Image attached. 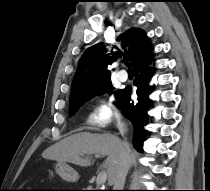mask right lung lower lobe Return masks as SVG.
<instances>
[{"label": "right lung lower lobe", "mask_w": 210, "mask_h": 191, "mask_svg": "<svg viewBox=\"0 0 210 191\" xmlns=\"http://www.w3.org/2000/svg\"><path fill=\"white\" fill-rule=\"evenodd\" d=\"M151 45H149L140 52L133 63V71L135 73L134 85L137 87L138 102L132 103L130 99L131 87L120 90L116 99L119 101L123 108L124 115L132 122L134 128L133 143L134 146L140 151L143 142L146 140L145 136L147 131L144 126L147 124V111L151 105V100L148 95L152 92L151 87L148 85L153 69L148 66L151 63Z\"/></svg>", "instance_id": "right-lung-lower-lobe-1"}]
</instances>
